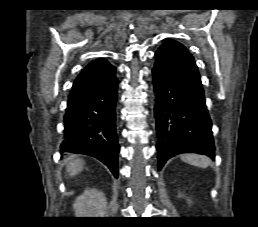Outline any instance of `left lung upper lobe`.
<instances>
[{"mask_svg": "<svg viewBox=\"0 0 258 227\" xmlns=\"http://www.w3.org/2000/svg\"><path fill=\"white\" fill-rule=\"evenodd\" d=\"M164 43H170V44H173V45H175V46H177V47H179V48H181V49H183L184 51H186V52H188L187 51V49L181 44V43H179V42H176V41H174V40H171V39H167V40H165V42ZM189 53V52H188ZM190 54V53H189Z\"/></svg>", "mask_w": 258, "mask_h": 227, "instance_id": "left-lung-upper-lobe-1", "label": "left lung upper lobe"}]
</instances>
